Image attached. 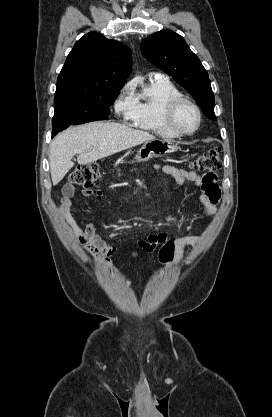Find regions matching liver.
<instances>
[{
  "label": "liver",
  "instance_id": "obj_1",
  "mask_svg": "<svg viewBox=\"0 0 272 417\" xmlns=\"http://www.w3.org/2000/svg\"><path fill=\"white\" fill-rule=\"evenodd\" d=\"M155 136L145 131L111 122H92L70 127L51 142L49 163L53 185H57L74 166L92 163L120 151L135 147Z\"/></svg>",
  "mask_w": 272,
  "mask_h": 417
}]
</instances>
